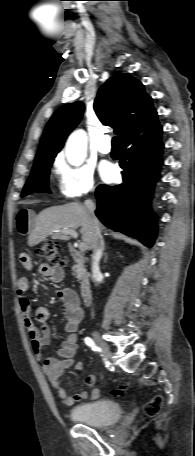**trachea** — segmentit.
<instances>
[{"label":"trachea","instance_id":"obj_1","mask_svg":"<svg viewBox=\"0 0 195 456\" xmlns=\"http://www.w3.org/2000/svg\"><path fill=\"white\" fill-rule=\"evenodd\" d=\"M112 145H113V147H120V139L118 136H115L112 139Z\"/></svg>","mask_w":195,"mask_h":456}]
</instances>
